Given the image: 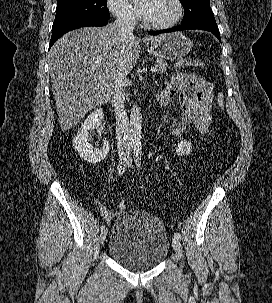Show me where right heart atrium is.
<instances>
[{
  "instance_id": "right-heart-atrium-1",
  "label": "right heart atrium",
  "mask_w": 272,
  "mask_h": 303,
  "mask_svg": "<svg viewBox=\"0 0 272 303\" xmlns=\"http://www.w3.org/2000/svg\"><path fill=\"white\" fill-rule=\"evenodd\" d=\"M107 7L116 19L125 24L136 22L138 13L129 0H106Z\"/></svg>"
}]
</instances>
